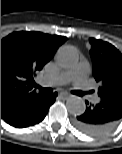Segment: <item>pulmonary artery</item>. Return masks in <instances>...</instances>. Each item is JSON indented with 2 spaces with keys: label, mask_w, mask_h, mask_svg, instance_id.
<instances>
[{
  "label": "pulmonary artery",
  "mask_w": 122,
  "mask_h": 154,
  "mask_svg": "<svg viewBox=\"0 0 122 154\" xmlns=\"http://www.w3.org/2000/svg\"><path fill=\"white\" fill-rule=\"evenodd\" d=\"M89 65L87 62H80L74 68L59 74L58 76L49 80L50 85H65L71 81H75L81 89H85L88 80ZM94 103L99 102L98 97H93Z\"/></svg>",
  "instance_id": "pulmonary-artery-1"
}]
</instances>
